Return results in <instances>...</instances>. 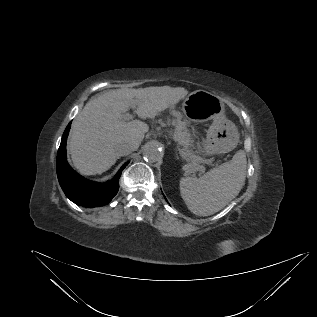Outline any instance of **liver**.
<instances>
[{"label": "liver", "instance_id": "6515ba94", "mask_svg": "<svg viewBox=\"0 0 317 317\" xmlns=\"http://www.w3.org/2000/svg\"><path fill=\"white\" fill-rule=\"evenodd\" d=\"M183 87L156 86L108 91L86 103L75 118L69 134V151L74 166L83 175L102 174L116 163L117 147L124 142H142L149 127L141 120L127 121L124 114L135 109L141 119L184 99Z\"/></svg>", "mask_w": 317, "mask_h": 317}]
</instances>
